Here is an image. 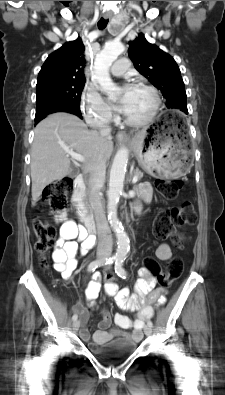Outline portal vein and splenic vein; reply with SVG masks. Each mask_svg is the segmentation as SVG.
Masks as SVG:
<instances>
[{"label": "portal vein and splenic vein", "instance_id": "obj_1", "mask_svg": "<svg viewBox=\"0 0 225 395\" xmlns=\"http://www.w3.org/2000/svg\"><path fill=\"white\" fill-rule=\"evenodd\" d=\"M66 152H67V154H68L69 156H71V158H73V159H75V160H77V161H80V162H83V161H84V157H83L82 155H80V154H78V153H75V152H73V151H71V150H66ZM137 180H138V177H137V176H134L133 179H132V182H133V183H136Z\"/></svg>", "mask_w": 225, "mask_h": 395}]
</instances>
